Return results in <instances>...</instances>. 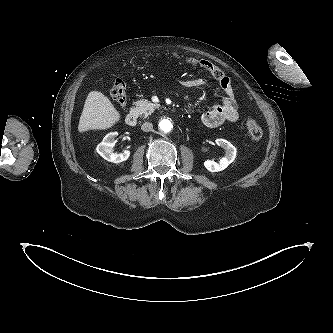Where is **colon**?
<instances>
[{"instance_id": "obj_1", "label": "colon", "mask_w": 333, "mask_h": 333, "mask_svg": "<svg viewBox=\"0 0 333 333\" xmlns=\"http://www.w3.org/2000/svg\"><path fill=\"white\" fill-rule=\"evenodd\" d=\"M184 60L190 64L204 68L215 79L222 80L225 78L224 72L207 60H199L195 58H185ZM110 93L113 101L119 107L122 108L125 106L127 100L126 84L121 78H116L114 80ZM245 125L248 135L253 141H259L262 139L264 135L263 129L254 119H247Z\"/></svg>"}]
</instances>
